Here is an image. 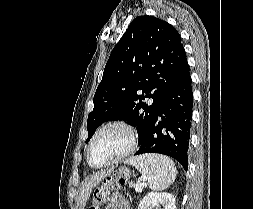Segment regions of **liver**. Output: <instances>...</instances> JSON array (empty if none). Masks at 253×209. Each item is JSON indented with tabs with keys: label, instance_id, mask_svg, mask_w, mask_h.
<instances>
[{
	"label": "liver",
	"instance_id": "1",
	"mask_svg": "<svg viewBox=\"0 0 253 209\" xmlns=\"http://www.w3.org/2000/svg\"><path fill=\"white\" fill-rule=\"evenodd\" d=\"M112 170L101 171L93 174L90 178L85 179L80 186L79 196L77 199V204L80 209H84L86 203L90 197L92 189L95 188L103 178L110 175Z\"/></svg>",
	"mask_w": 253,
	"mask_h": 209
}]
</instances>
